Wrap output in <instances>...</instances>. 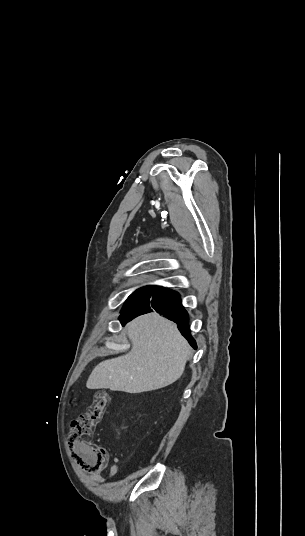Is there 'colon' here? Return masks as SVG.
I'll return each mask as SVG.
<instances>
[{"instance_id":"obj_1","label":"colon","mask_w":305,"mask_h":536,"mask_svg":"<svg viewBox=\"0 0 305 536\" xmlns=\"http://www.w3.org/2000/svg\"><path fill=\"white\" fill-rule=\"evenodd\" d=\"M109 401L106 392H97L85 414H81L71 423L70 435H65V446H72L69 458L75 471L97 473L108 468V451L104 446H95L89 439L96 426L100 424Z\"/></svg>"}]
</instances>
